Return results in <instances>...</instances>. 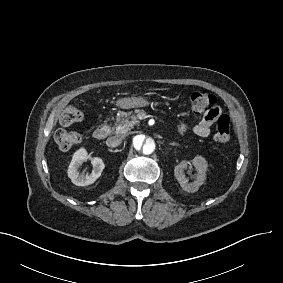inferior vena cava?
<instances>
[{
  "mask_svg": "<svg viewBox=\"0 0 283 283\" xmlns=\"http://www.w3.org/2000/svg\"><path fill=\"white\" fill-rule=\"evenodd\" d=\"M123 138L121 136H112L106 140V144L109 147H118L122 144Z\"/></svg>",
  "mask_w": 283,
  "mask_h": 283,
  "instance_id": "obj_1",
  "label": "inferior vena cava"
}]
</instances>
